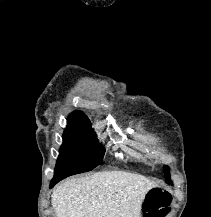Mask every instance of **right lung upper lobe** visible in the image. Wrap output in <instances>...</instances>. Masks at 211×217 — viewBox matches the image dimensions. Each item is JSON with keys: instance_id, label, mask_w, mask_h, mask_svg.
<instances>
[{"instance_id": "obj_1", "label": "right lung upper lobe", "mask_w": 211, "mask_h": 217, "mask_svg": "<svg viewBox=\"0 0 211 217\" xmlns=\"http://www.w3.org/2000/svg\"><path fill=\"white\" fill-rule=\"evenodd\" d=\"M67 121L69 128H85L91 126L88 117L81 111L70 114Z\"/></svg>"}]
</instances>
